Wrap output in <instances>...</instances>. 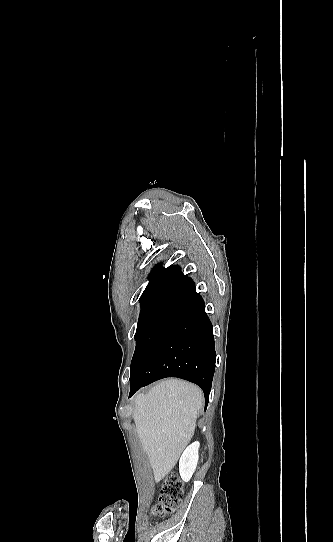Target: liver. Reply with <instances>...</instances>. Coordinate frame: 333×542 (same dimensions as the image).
<instances>
[{
    "instance_id": "obj_1",
    "label": "liver",
    "mask_w": 333,
    "mask_h": 542,
    "mask_svg": "<svg viewBox=\"0 0 333 542\" xmlns=\"http://www.w3.org/2000/svg\"><path fill=\"white\" fill-rule=\"evenodd\" d=\"M203 400L198 386L173 378L162 380L148 394H137L133 418L156 484L171 472L188 446Z\"/></svg>"
}]
</instances>
